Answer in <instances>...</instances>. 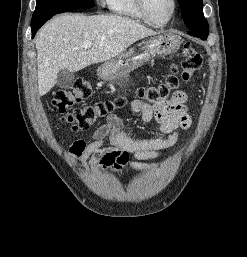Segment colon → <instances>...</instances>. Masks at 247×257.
Wrapping results in <instances>:
<instances>
[{"label": "colon", "mask_w": 247, "mask_h": 257, "mask_svg": "<svg viewBox=\"0 0 247 257\" xmlns=\"http://www.w3.org/2000/svg\"><path fill=\"white\" fill-rule=\"evenodd\" d=\"M182 58L181 77L177 75V67L172 66L171 73L164 83L139 88L136 92L138 98L148 104H157L165 101L171 92L179 91L182 85L181 81H189L193 73L202 65L201 55L189 42L183 46ZM92 93L91 83L84 79H78L71 87L57 91L52 99L58 116L64 122L69 123L74 131L89 129L125 104V99L120 97L74 108L75 105L89 99Z\"/></svg>", "instance_id": "colon-1"}]
</instances>
